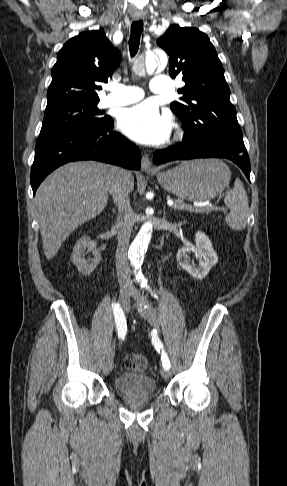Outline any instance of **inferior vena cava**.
Masks as SVG:
<instances>
[{
	"label": "inferior vena cava",
	"instance_id": "1",
	"mask_svg": "<svg viewBox=\"0 0 287 486\" xmlns=\"http://www.w3.org/2000/svg\"><path fill=\"white\" fill-rule=\"evenodd\" d=\"M127 177V171L114 167L110 180L109 193L118 207L116 223L118 228V246L116 250L117 277L121 289L133 291L134 285L130 278L131 272L127 250L135 216L130 205V191L126 184Z\"/></svg>",
	"mask_w": 287,
	"mask_h": 486
}]
</instances>
